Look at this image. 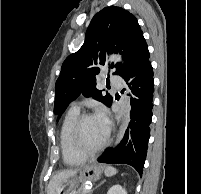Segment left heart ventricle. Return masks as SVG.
<instances>
[{"label": "left heart ventricle", "mask_w": 201, "mask_h": 194, "mask_svg": "<svg viewBox=\"0 0 201 194\" xmlns=\"http://www.w3.org/2000/svg\"><path fill=\"white\" fill-rule=\"evenodd\" d=\"M105 137L94 116L84 121L82 125V141L87 149L96 148L103 142Z\"/></svg>", "instance_id": "left-heart-ventricle-1"}]
</instances>
